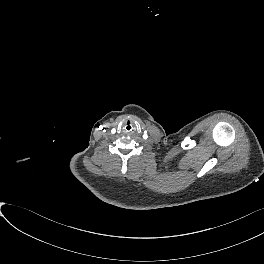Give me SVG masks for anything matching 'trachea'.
I'll return each mask as SVG.
<instances>
[{
	"label": "trachea",
	"mask_w": 264,
	"mask_h": 264,
	"mask_svg": "<svg viewBox=\"0 0 264 264\" xmlns=\"http://www.w3.org/2000/svg\"><path fill=\"white\" fill-rule=\"evenodd\" d=\"M133 129H134V125H133L132 122L127 121V122H125V123L123 124V131H124L125 133H130V132L133 131Z\"/></svg>",
	"instance_id": "trachea-1"
}]
</instances>
